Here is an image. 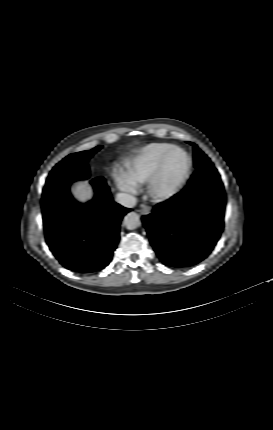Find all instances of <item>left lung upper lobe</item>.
Instances as JSON below:
<instances>
[{"mask_svg":"<svg viewBox=\"0 0 273 430\" xmlns=\"http://www.w3.org/2000/svg\"><path fill=\"white\" fill-rule=\"evenodd\" d=\"M193 146L194 149V165L196 169L213 165L210 159L198 148L197 145L191 142H187Z\"/></svg>","mask_w":273,"mask_h":430,"instance_id":"1","label":"left lung upper lobe"}]
</instances>
